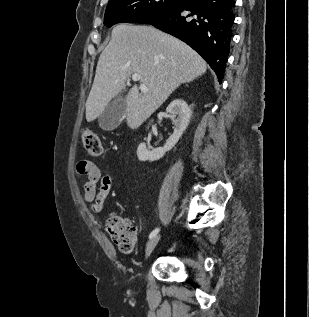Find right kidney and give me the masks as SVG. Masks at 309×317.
I'll return each instance as SVG.
<instances>
[{
    "instance_id": "obj_1",
    "label": "right kidney",
    "mask_w": 309,
    "mask_h": 317,
    "mask_svg": "<svg viewBox=\"0 0 309 317\" xmlns=\"http://www.w3.org/2000/svg\"><path fill=\"white\" fill-rule=\"evenodd\" d=\"M166 112L171 115L173 121V134L168 138L164 147L150 150L145 143H140L137 149V157L140 161H156L162 158L166 152L177 144L187 128L192 115L190 107L182 99L172 101L166 108Z\"/></svg>"
}]
</instances>
